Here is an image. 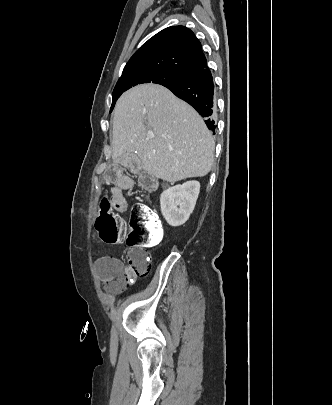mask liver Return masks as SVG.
I'll return each mask as SVG.
<instances>
[{
  "label": "liver",
  "mask_w": 332,
  "mask_h": 405,
  "mask_svg": "<svg viewBox=\"0 0 332 405\" xmlns=\"http://www.w3.org/2000/svg\"><path fill=\"white\" fill-rule=\"evenodd\" d=\"M214 148L202 117L165 87L152 83L133 87L116 104L112 139L116 164L127 166L137 151L149 175L174 183L207 175Z\"/></svg>",
  "instance_id": "obj_1"
}]
</instances>
